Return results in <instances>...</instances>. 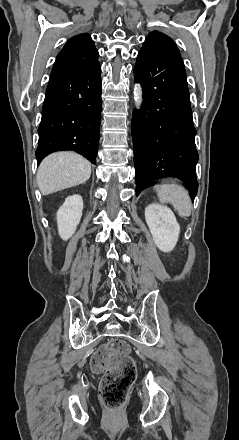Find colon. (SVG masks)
<instances>
[{"label":"colon","instance_id":"colon-1","mask_svg":"<svg viewBox=\"0 0 239 440\" xmlns=\"http://www.w3.org/2000/svg\"><path fill=\"white\" fill-rule=\"evenodd\" d=\"M92 369L102 375L100 397L104 405L113 410L122 407L137 375L129 345L122 340H112L102 346L92 358Z\"/></svg>","mask_w":239,"mask_h":440}]
</instances>
